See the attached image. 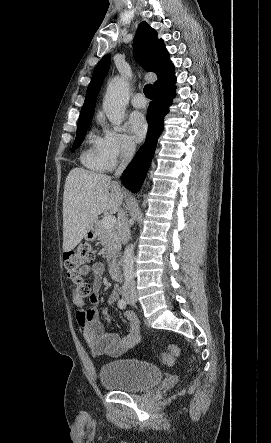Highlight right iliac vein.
<instances>
[{"instance_id":"obj_1","label":"right iliac vein","mask_w":271,"mask_h":443,"mask_svg":"<svg viewBox=\"0 0 271 443\" xmlns=\"http://www.w3.org/2000/svg\"><path fill=\"white\" fill-rule=\"evenodd\" d=\"M134 298V296L133 295H130L129 297H128V299H133Z\"/></svg>"}]
</instances>
